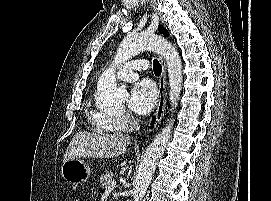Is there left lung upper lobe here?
Returning a JSON list of instances; mask_svg holds the SVG:
<instances>
[{
	"mask_svg": "<svg viewBox=\"0 0 271 201\" xmlns=\"http://www.w3.org/2000/svg\"><path fill=\"white\" fill-rule=\"evenodd\" d=\"M158 30H159L160 33L164 34L165 36H168L167 30L164 29L163 26L159 25V26H158Z\"/></svg>",
	"mask_w": 271,
	"mask_h": 201,
	"instance_id": "left-lung-upper-lobe-1",
	"label": "left lung upper lobe"
}]
</instances>
